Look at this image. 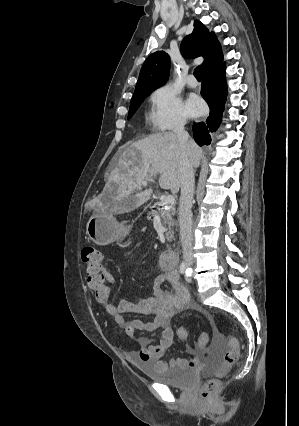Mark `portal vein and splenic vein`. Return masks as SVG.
I'll return each instance as SVG.
<instances>
[{
    "mask_svg": "<svg viewBox=\"0 0 299 426\" xmlns=\"http://www.w3.org/2000/svg\"><path fill=\"white\" fill-rule=\"evenodd\" d=\"M142 185H143V186H147V185H148V182H147V181H144V182L142 183ZM174 202H175L174 197H173L172 195H167V196L165 197V199H164L163 203H162V206H163V207H165L166 209H169V208H171V206L174 204Z\"/></svg>",
    "mask_w": 299,
    "mask_h": 426,
    "instance_id": "obj_1",
    "label": "portal vein and splenic vein"
}]
</instances>
